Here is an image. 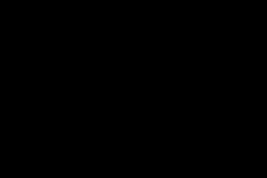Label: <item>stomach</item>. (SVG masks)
I'll return each instance as SVG.
<instances>
[{
  "instance_id": "0dacf381",
  "label": "stomach",
  "mask_w": 267,
  "mask_h": 178,
  "mask_svg": "<svg viewBox=\"0 0 267 178\" xmlns=\"http://www.w3.org/2000/svg\"><path fill=\"white\" fill-rule=\"evenodd\" d=\"M145 36L160 48H167L170 44V33L163 27H154Z\"/></svg>"
}]
</instances>
